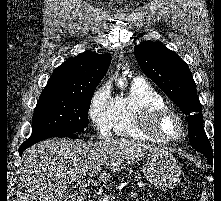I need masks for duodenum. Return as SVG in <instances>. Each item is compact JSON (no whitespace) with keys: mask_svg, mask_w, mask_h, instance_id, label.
Instances as JSON below:
<instances>
[{"mask_svg":"<svg viewBox=\"0 0 221 201\" xmlns=\"http://www.w3.org/2000/svg\"><path fill=\"white\" fill-rule=\"evenodd\" d=\"M76 201H84L83 198H78Z\"/></svg>","mask_w":221,"mask_h":201,"instance_id":"duodenum-1","label":"duodenum"}]
</instances>
